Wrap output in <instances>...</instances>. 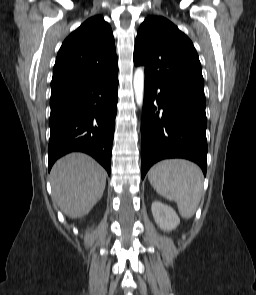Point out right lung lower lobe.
I'll return each mask as SVG.
<instances>
[{
  "label": "right lung lower lobe",
  "mask_w": 256,
  "mask_h": 295,
  "mask_svg": "<svg viewBox=\"0 0 256 295\" xmlns=\"http://www.w3.org/2000/svg\"><path fill=\"white\" fill-rule=\"evenodd\" d=\"M117 90L118 68L52 89L49 171L59 157L81 151L94 157L110 175Z\"/></svg>",
  "instance_id": "98d812e1"
}]
</instances>
